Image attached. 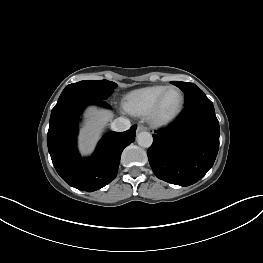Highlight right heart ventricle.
Returning a JSON list of instances; mask_svg holds the SVG:
<instances>
[{
    "label": "right heart ventricle",
    "mask_w": 263,
    "mask_h": 263,
    "mask_svg": "<svg viewBox=\"0 0 263 263\" xmlns=\"http://www.w3.org/2000/svg\"><path fill=\"white\" fill-rule=\"evenodd\" d=\"M168 86H148L129 92L124 100V109L133 116H147L158 97Z\"/></svg>",
    "instance_id": "obj_1"
}]
</instances>
